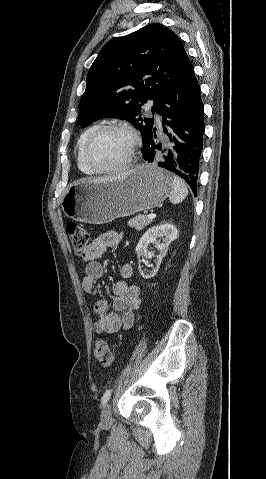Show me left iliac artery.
Wrapping results in <instances>:
<instances>
[{
	"label": "left iliac artery",
	"mask_w": 266,
	"mask_h": 479,
	"mask_svg": "<svg viewBox=\"0 0 266 479\" xmlns=\"http://www.w3.org/2000/svg\"><path fill=\"white\" fill-rule=\"evenodd\" d=\"M111 393H112V389H107L105 391V393L103 394V397H102V405H104L108 402V400L110 399Z\"/></svg>",
	"instance_id": "obj_1"
}]
</instances>
